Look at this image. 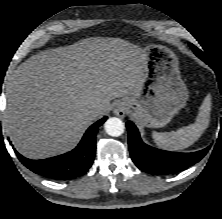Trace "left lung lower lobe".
Masks as SVG:
<instances>
[{"instance_id": "obj_1", "label": "left lung lower lobe", "mask_w": 222, "mask_h": 219, "mask_svg": "<svg viewBox=\"0 0 222 219\" xmlns=\"http://www.w3.org/2000/svg\"><path fill=\"white\" fill-rule=\"evenodd\" d=\"M193 52L208 64L205 54L193 45ZM128 145L135 165L150 174H171L188 168L200 161L210 147L193 153H175L163 151L146 145L140 138L138 129L131 121L126 123Z\"/></svg>"}]
</instances>
